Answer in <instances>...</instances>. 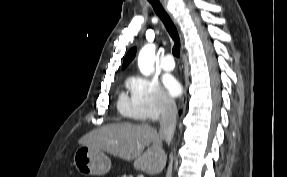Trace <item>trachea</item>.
Returning a JSON list of instances; mask_svg holds the SVG:
<instances>
[{
	"mask_svg": "<svg viewBox=\"0 0 287 177\" xmlns=\"http://www.w3.org/2000/svg\"><path fill=\"white\" fill-rule=\"evenodd\" d=\"M148 1L152 5L156 14L162 20L164 26L166 27V30L168 31V33L170 34L171 38L174 41L173 55L176 57H179L180 56V39H179V35H178V31L176 29V26L174 25L172 19L167 14V12L164 10V8L161 5V3L159 2V0H148Z\"/></svg>",
	"mask_w": 287,
	"mask_h": 177,
	"instance_id": "1",
	"label": "trachea"
}]
</instances>
